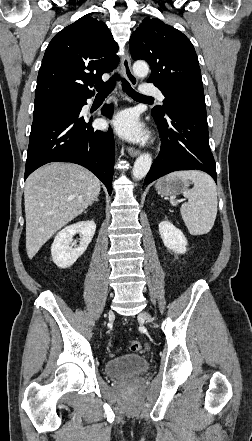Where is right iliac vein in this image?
<instances>
[{
    "label": "right iliac vein",
    "instance_id": "right-iliac-vein-1",
    "mask_svg": "<svg viewBox=\"0 0 252 441\" xmlns=\"http://www.w3.org/2000/svg\"><path fill=\"white\" fill-rule=\"evenodd\" d=\"M108 314H109V316H111L113 313H112V311H109Z\"/></svg>",
    "mask_w": 252,
    "mask_h": 441
}]
</instances>
